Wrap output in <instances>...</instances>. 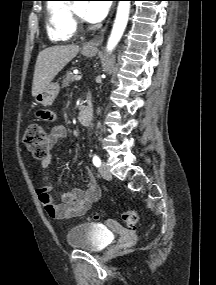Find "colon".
Returning <instances> with one entry per match:
<instances>
[{
  "instance_id": "5ec220e1",
  "label": "colon",
  "mask_w": 216,
  "mask_h": 285,
  "mask_svg": "<svg viewBox=\"0 0 216 285\" xmlns=\"http://www.w3.org/2000/svg\"><path fill=\"white\" fill-rule=\"evenodd\" d=\"M23 142L27 151L35 159L43 161L49 156L47 133L41 125H29L24 132ZM99 218V215H94L90 220H98ZM121 218L129 228H134L138 222V214L134 210L123 211L121 213Z\"/></svg>"
}]
</instances>
